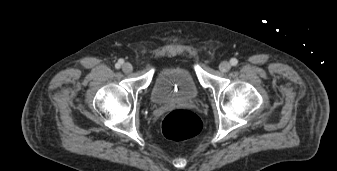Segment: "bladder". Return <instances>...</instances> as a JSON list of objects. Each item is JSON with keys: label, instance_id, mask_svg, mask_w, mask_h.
I'll list each match as a JSON object with an SVG mask.
<instances>
[{"label": "bladder", "instance_id": "31cf9c89", "mask_svg": "<svg viewBox=\"0 0 337 171\" xmlns=\"http://www.w3.org/2000/svg\"><path fill=\"white\" fill-rule=\"evenodd\" d=\"M198 96V85L188 67L163 66L157 71L151 91V99L155 104L193 101Z\"/></svg>", "mask_w": 337, "mask_h": 171}]
</instances>
